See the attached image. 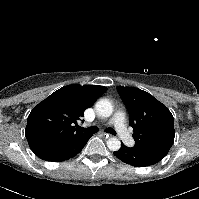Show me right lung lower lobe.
I'll return each mask as SVG.
<instances>
[{"label":"right lung lower lobe","mask_w":199,"mask_h":199,"mask_svg":"<svg viewBox=\"0 0 199 199\" xmlns=\"http://www.w3.org/2000/svg\"><path fill=\"white\" fill-rule=\"evenodd\" d=\"M92 134H83L78 138H75L69 142L51 146L32 149V151L41 159L45 161L59 162L65 161L77 155L83 147L86 145L87 141Z\"/></svg>","instance_id":"obj_1"}]
</instances>
